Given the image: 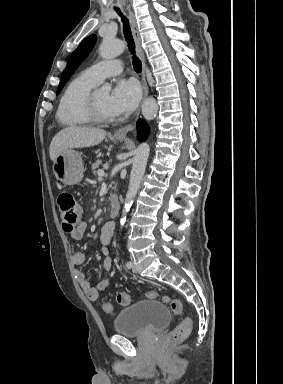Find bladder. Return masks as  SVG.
<instances>
[{"instance_id":"31cf9c89","label":"bladder","mask_w":283,"mask_h":384,"mask_svg":"<svg viewBox=\"0 0 283 384\" xmlns=\"http://www.w3.org/2000/svg\"><path fill=\"white\" fill-rule=\"evenodd\" d=\"M171 313L160 301L139 299L123 307L113 323L116 335L124 337H144L151 332L164 328L169 323Z\"/></svg>"}]
</instances>
